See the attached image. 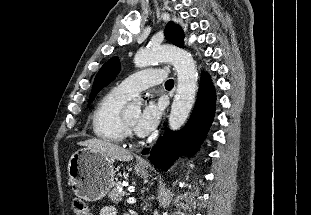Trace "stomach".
Instances as JSON below:
<instances>
[{"label":"stomach","instance_id":"0dacf381","mask_svg":"<svg viewBox=\"0 0 311 215\" xmlns=\"http://www.w3.org/2000/svg\"><path fill=\"white\" fill-rule=\"evenodd\" d=\"M138 176L147 181L148 172L144 167H135ZM69 181L74 193L86 201L104 198L114 185L112 160L87 148L73 153L68 162Z\"/></svg>","mask_w":311,"mask_h":215}]
</instances>
